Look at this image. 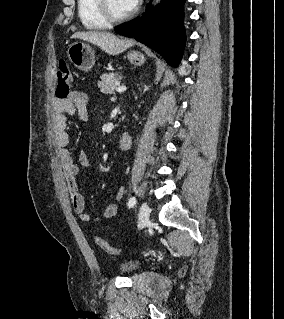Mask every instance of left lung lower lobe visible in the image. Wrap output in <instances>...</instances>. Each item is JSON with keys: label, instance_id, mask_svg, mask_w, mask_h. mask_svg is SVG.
I'll use <instances>...</instances> for the list:
<instances>
[{"label": "left lung lower lobe", "instance_id": "obj_1", "mask_svg": "<svg viewBox=\"0 0 284 319\" xmlns=\"http://www.w3.org/2000/svg\"><path fill=\"white\" fill-rule=\"evenodd\" d=\"M184 2L185 0H162L157 8H152L149 4L141 17L123 23L114 30L123 36L134 37L176 67L185 46Z\"/></svg>", "mask_w": 284, "mask_h": 319}]
</instances>
